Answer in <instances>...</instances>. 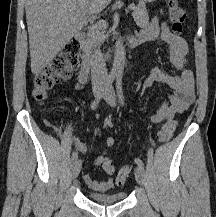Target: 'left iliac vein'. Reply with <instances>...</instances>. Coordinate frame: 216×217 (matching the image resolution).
I'll list each match as a JSON object with an SVG mask.
<instances>
[{
	"label": "left iliac vein",
	"mask_w": 216,
	"mask_h": 217,
	"mask_svg": "<svg viewBox=\"0 0 216 217\" xmlns=\"http://www.w3.org/2000/svg\"><path fill=\"white\" fill-rule=\"evenodd\" d=\"M104 100L111 106H115L116 104V98H115V92L114 89L111 87L108 92L104 96ZM135 177L137 182L140 185L144 184V169L143 167H136L135 168Z\"/></svg>",
	"instance_id": "1"
}]
</instances>
